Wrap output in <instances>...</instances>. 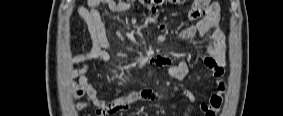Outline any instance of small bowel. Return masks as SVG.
<instances>
[{
	"mask_svg": "<svg viewBox=\"0 0 283 116\" xmlns=\"http://www.w3.org/2000/svg\"><path fill=\"white\" fill-rule=\"evenodd\" d=\"M131 1L114 0H89L88 6H79L77 12L85 22L90 34L92 45L85 52L71 57L70 63L79 65L74 71L77 84L74 88L76 97H84L85 101L75 105V110L80 111L92 105L97 109V115H106L130 108V105L139 100L162 101L169 97V92H158L154 90H141L130 92L106 103L99 93L96 85L87 78L91 63L95 60L107 62L111 59L109 51L113 48L107 38L105 26L102 21L98 6L103 4L114 14L124 13L130 6ZM191 19L197 20L193 25L179 33L182 39H192L198 36L205 47V53L201 56L204 67V75L214 77L218 82V92L213 94L208 103L200 104V111L205 116H214L222 104V94L225 91V84L222 80L225 67V39L220 30L219 7L216 3L207 0H196L190 14ZM164 28V26H161ZM139 64H155L164 68L173 79L183 81L187 78L189 64L186 61L173 63L168 57L150 56L141 57ZM183 94L191 102H196L195 95L184 90Z\"/></svg>",
	"mask_w": 283,
	"mask_h": 116,
	"instance_id": "c3829d8e",
	"label": "small bowel"
}]
</instances>
